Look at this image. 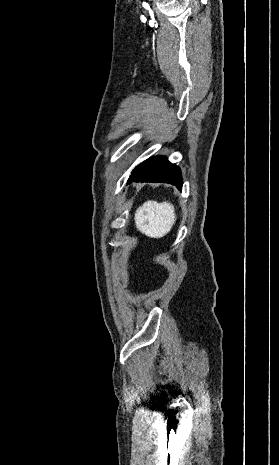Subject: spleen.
<instances>
[{
  "instance_id": "spleen-1",
  "label": "spleen",
  "mask_w": 279,
  "mask_h": 465,
  "mask_svg": "<svg viewBox=\"0 0 279 465\" xmlns=\"http://www.w3.org/2000/svg\"><path fill=\"white\" fill-rule=\"evenodd\" d=\"M174 206L169 202L147 201L136 210L137 229L152 238L165 236L175 223Z\"/></svg>"
}]
</instances>
